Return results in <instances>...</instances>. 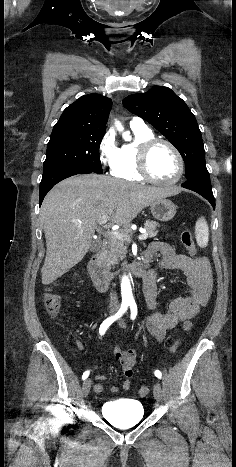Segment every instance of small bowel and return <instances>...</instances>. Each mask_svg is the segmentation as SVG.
<instances>
[{"instance_id": "c3829d8e", "label": "small bowel", "mask_w": 236, "mask_h": 467, "mask_svg": "<svg viewBox=\"0 0 236 467\" xmlns=\"http://www.w3.org/2000/svg\"><path fill=\"white\" fill-rule=\"evenodd\" d=\"M157 256L160 259L151 268L153 277L144 282L146 305L151 311L146 319L145 327L155 340L161 341L167 331L173 329L179 323L193 318L202 308L209 304L213 292V276L207 258L202 256L191 258L186 255L176 254L173 248L165 242L154 241L145 252V260L148 263H153ZM158 269L181 270L186 276L191 289L188 296L172 300L165 313L154 311L157 298L156 271ZM79 347L81 348V345ZM114 355L120 363L122 373L126 379L122 382L121 387L111 386L110 392L117 393L120 389L128 391L131 388L130 378L133 375L137 351L115 348ZM97 379L100 382L95 385V392L99 394L105 390L101 382L106 380V376L98 375Z\"/></svg>"}]
</instances>
